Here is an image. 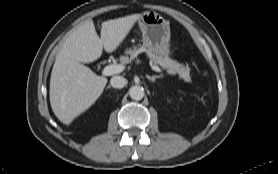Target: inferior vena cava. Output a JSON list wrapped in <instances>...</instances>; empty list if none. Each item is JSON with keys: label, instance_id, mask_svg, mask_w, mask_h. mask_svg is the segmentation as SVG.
I'll use <instances>...</instances> for the list:
<instances>
[{"label": "inferior vena cava", "instance_id": "inferior-vena-cava-1", "mask_svg": "<svg viewBox=\"0 0 278 174\" xmlns=\"http://www.w3.org/2000/svg\"><path fill=\"white\" fill-rule=\"evenodd\" d=\"M127 84V80L122 76H113L110 80V85L113 88H123Z\"/></svg>", "mask_w": 278, "mask_h": 174}]
</instances>
